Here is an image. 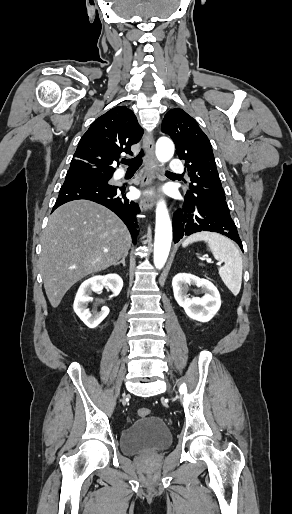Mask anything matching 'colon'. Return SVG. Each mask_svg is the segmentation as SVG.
I'll use <instances>...</instances> for the list:
<instances>
[{
	"label": "colon",
	"instance_id": "obj_1",
	"mask_svg": "<svg viewBox=\"0 0 292 514\" xmlns=\"http://www.w3.org/2000/svg\"><path fill=\"white\" fill-rule=\"evenodd\" d=\"M137 415L142 419H147L150 416V410L145 407H139L136 410Z\"/></svg>",
	"mask_w": 292,
	"mask_h": 514
}]
</instances>
